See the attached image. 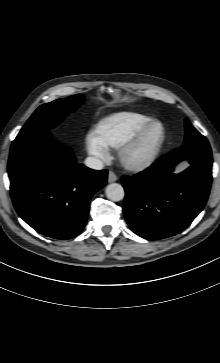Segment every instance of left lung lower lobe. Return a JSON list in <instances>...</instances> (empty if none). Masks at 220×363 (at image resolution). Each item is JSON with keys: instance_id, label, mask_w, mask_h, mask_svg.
I'll use <instances>...</instances> for the list:
<instances>
[{"instance_id": "1", "label": "left lung lower lobe", "mask_w": 220, "mask_h": 363, "mask_svg": "<svg viewBox=\"0 0 220 363\" xmlns=\"http://www.w3.org/2000/svg\"><path fill=\"white\" fill-rule=\"evenodd\" d=\"M183 159L191 166L180 174H173L174 166ZM211 181L210 146L174 149L146 170L133 177H122L128 225L137 235L149 240L180 233L204 208Z\"/></svg>"}]
</instances>
